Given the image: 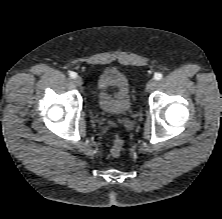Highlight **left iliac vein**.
I'll use <instances>...</instances> for the list:
<instances>
[{
	"label": "left iliac vein",
	"instance_id": "obj_1",
	"mask_svg": "<svg viewBox=\"0 0 222 219\" xmlns=\"http://www.w3.org/2000/svg\"><path fill=\"white\" fill-rule=\"evenodd\" d=\"M157 85V82L155 80H150L146 85V91L150 92L152 91Z\"/></svg>",
	"mask_w": 222,
	"mask_h": 219
}]
</instances>
